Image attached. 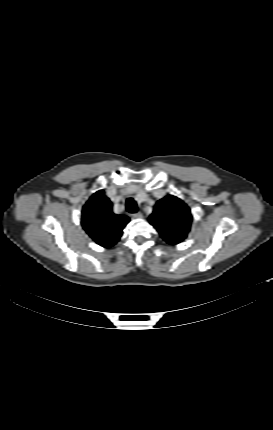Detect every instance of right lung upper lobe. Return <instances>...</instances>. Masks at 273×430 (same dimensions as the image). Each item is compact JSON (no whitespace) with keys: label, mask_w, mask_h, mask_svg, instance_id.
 I'll return each instance as SVG.
<instances>
[{"label":"right lung upper lobe","mask_w":273,"mask_h":430,"mask_svg":"<svg viewBox=\"0 0 273 430\" xmlns=\"http://www.w3.org/2000/svg\"><path fill=\"white\" fill-rule=\"evenodd\" d=\"M129 222L125 215L112 212V203L100 190L93 194L82 210L81 225L100 246L109 248L121 237L124 226Z\"/></svg>","instance_id":"1"}]
</instances>
